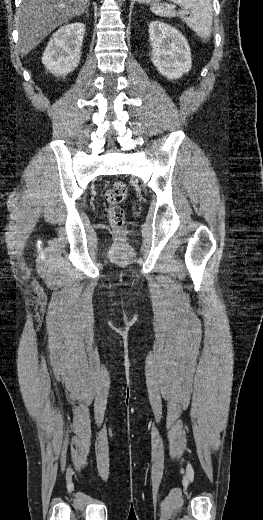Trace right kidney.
Returning <instances> with one entry per match:
<instances>
[{
	"label": "right kidney",
	"instance_id": "1",
	"mask_svg": "<svg viewBox=\"0 0 263 520\" xmlns=\"http://www.w3.org/2000/svg\"><path fill=\"white\" fill-rule=\"evenodd\" d=\"M85 25L75 22L58 29L42 56V63L55 76H66L78 66Z\"/></svg>",
	"mask_w": 263,
	"mask_h": 520
}]
</instances>
